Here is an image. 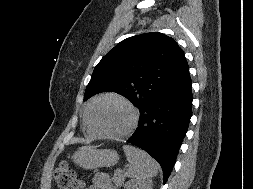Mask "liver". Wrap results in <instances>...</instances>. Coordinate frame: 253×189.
Returning <instances> with one entry per match:
<instances>
[{"mask_svg": "<svg viewBox=\"0 0 253 189\" xmlns=\"http://www.w3.org/2000/svg\"><path fill=\"white\" fill-rule=\"evenodd\" d=\"M85 148H88V147H81L80 149H85Z\"/></svg>", "mask_w": 253, "mask_h": 189, "instance_id": "obj_1", "label": "liver"}]
</instances>
